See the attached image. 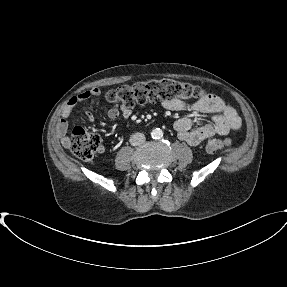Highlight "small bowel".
Returning <instances> with one entry per match:
<instances>
[{"mask_svg": "<svg viewBox=\"0 0 287 287\" xmlns=\"http://www.w3.org/2000/svg\"><path fill=\"white\" fill-rule=\"evenodd\" d=\"M100 94L99 88H92L70 98L56 127L57 135L64 146L69 145V137L67 136L68 118L73 108L80 102L93 101ZM163 106L171 111L189 109L211 115V122L197 128H193L194 120L188 117L175 122L174 128L177 136L191 146H197L215 135H226L230 131L238 130L241 127V118L236 110L219 96L213 94L206 95L202 100L192 105H188L180 99H173L164 101ZM120 114L123 118L128 119L132 115V108L121 106L120 108L111 107L108 110V117L112 120H115ZM85 115L89 121H94L95 116L92 111H85Z\"/></svg>", "mask_w": 287, "mask_h": 287, "instance_id": "c3829d8e", "label": "small bowel"}]
</instances>
